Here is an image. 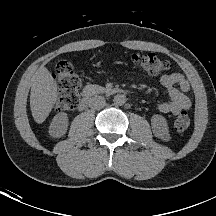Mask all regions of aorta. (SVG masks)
<instances>
[{"mask_svg":"<svg viewBox=\"0 0 216 216\" xmlns=\"http://www.w3.org/2000/svg\"><path fill=\"white\" fill-rule=\"evenodd\" d=\"M113 101L116 105H124L126 103V96L123 94H117L114 96Z\"/></svg>","mask_w":216,"mask_h":216,"instance_id":"762f6f07","label":"aorta"}]
</instances>
